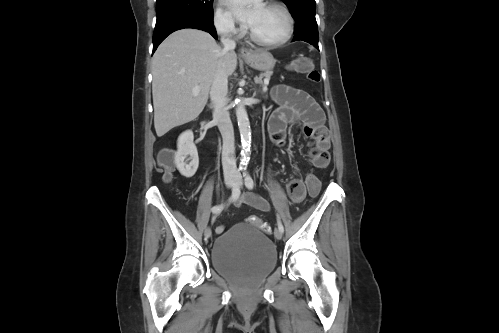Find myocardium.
<instances>
[{
	"label": "myocardium",
	"instance_id": "obj_1",
	"mask_svg": "<svg viewBox=\"0 0 499 333\" xmlns=\"http://www.w3.org/2000/svg\"><path fill=\"white\" fill-rule=\"evenodd\" d=\"M265 6L277 8V9L281 10L282 13L284 14L285 19H286V32H285L284 36L281 37L280 39L273 40V41L263 40V39H260L259 37H257L251 29L248 30V35L254 43L261 45V46L276 47V46L283 45L290 40V38L292 37V34H293L294 20H293L292 14H291L290 10L284 4L277 2V1H269L266 3Z\"/></svg>",
	"mask_w": 499,
	"mask_h": 333
}]
</instances>
